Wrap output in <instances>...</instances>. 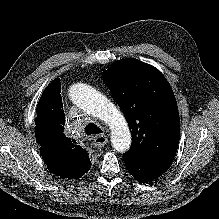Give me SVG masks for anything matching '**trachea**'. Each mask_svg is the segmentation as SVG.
<instances>
[{"label":"trachea","instance_id":"obj_1","mask_svg":"<svg viewBox=\"0 0 219 219\" xmlns=\"http://www.w3.org/2000/svg\"><path fill=\"white\" fill-rule=\"evenodd\" d=\"M85 132L88 135H95V134H100L102 133V129L97 126L95 123H89L86 127H85Z\"/></svg>","mask_w":219,"mask_h":219}]
</instances>
